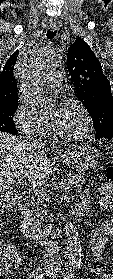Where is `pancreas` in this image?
I'll use <instances>...</instances> for the list:
<instances>
[{
  "label": "pancreas",
  "instance_id": "cf45deb5",
  "mask_svg": "<svg viewBox=\"0 0 113 279\" xmlns=\"http://www.w3.org/2000/svg\"><path fill=\"white\" fill-rule=\"evenodd\" d=\"M69 180L74 185L76 191L78 192L82 191L83 180L81 176L75 173H70ZM45 201H47V196L46 193L43 191L40 192L39 197H32L31 207H32L34 222L36 225H40L46 218V211L42 209V207H46Z\"/></svg>",
  "mask_w": 113,
  "mask_h": 279
}]
</instances>
